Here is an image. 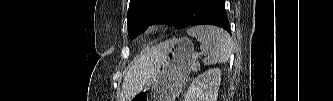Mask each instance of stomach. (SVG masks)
I'll use <instances>...</instances> for the list:
<instances>
[{
  "instance_id": "stomach-1",
  "label": "stomach",
  "mask_w": 333,
  "mask_h": 101,
  "mask_svg": "<svg viewBox=\"0 0 333 101\" xmlns=\"http://www.w3.org/2000/svg\"><path fill=\"white\" fill-rule=\"evenodd\" d=\"M194 45L186 37L167 41L161 64L148 85L130 101H174L190 74Z\"/></svg>"
}]
</instances>
